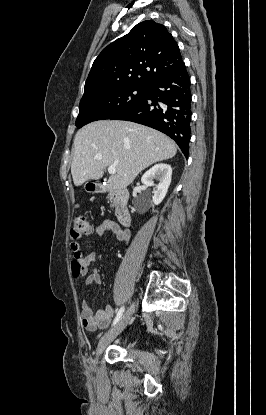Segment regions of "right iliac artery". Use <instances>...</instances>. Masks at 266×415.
Instances as JSON below:
<instances>
[{
	"label": "right iliac artery",
	"instance_id": "right-iliac-artery-1",
	"mask_svg": "<svg viewBox=\"0 0 266 415\" xmlns=\"http://www.w3.org/2000/svg\"><path fill=\"white\" fill-rule=\"evenodd\" d=\"M123 312H124V307H121L120 309H119V311H118V313H117V315H116V317H115V319H114V321H113V324H112V326H114L119 320H120V318L122 317V315H123Z\"/></svg>",
	"mask_w": 266,
	"mask_h": 415
}]
</instances>
